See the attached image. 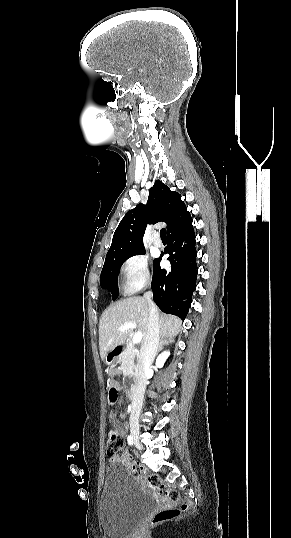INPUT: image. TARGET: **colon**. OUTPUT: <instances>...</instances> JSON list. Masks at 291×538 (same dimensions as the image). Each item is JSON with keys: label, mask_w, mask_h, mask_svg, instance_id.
<instances>
[{"label": "colon", "mask_w": 291, "mask_h": 538, "mask_svg": "<svg viewBox=\"0 0 291 538\" xmlns=\"http://www.w3.org/2000/svg\"><path fill=\"white\" fill-rule=\"evenodd\" d=\"M110 400L114 403L117 399V391L115 389H110L109 391ZM124 446V441L122 436L116 429H112L107 438L106 452L109 456L117 455ZM133 473L137 476H145L147 483L151 489L161 497H166L175 503H179L181 500L180 494L174 490L166 487L162 480L156 475H148L146 472L138 467L133 466ZM187 506L183 504L181 508H171L158 511L152 518V526L159 525L163 522L172 520L180 515L181 510H185Z\"/></svg>", "instance_id": "colon-1"}]
</instances>
